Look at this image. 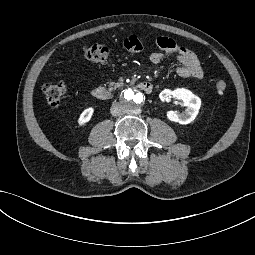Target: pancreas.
Listing matches in <instances>:
<instances>
[{"mask_svg":"<svg viewBox=\"0 0 255 255\" xmlns=\"http://www.w3.org/2000/svg\"><path fill=\"white\" fill-rule=\"evenodd\" d=\"M122 86H123V83L111 82V83H109V90L112 91L113 89H116V88L122 87Z\"/></svg>","mask_w":255,"mask_h":255,"instance_id":"pancreas-1","label":"pancreas"}]
</instances>
